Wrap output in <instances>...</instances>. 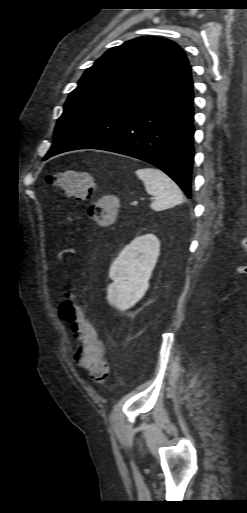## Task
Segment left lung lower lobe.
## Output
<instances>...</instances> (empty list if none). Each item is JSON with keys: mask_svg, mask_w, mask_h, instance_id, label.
I'll return each instance as SVG.
<instances>
[{"mask_svg": "<svg viewBox=\"0 0 247 513\" xmlns=\"http://www.w3.org/2000/svg\"><path fill=\"white\" fill-rule=\"evenodd\" d=\"M193 96L188 65L168 81L73 134L43 159L76 149L120 153L160 168L191 198Z\"/></svg>", "mask_w": 247, "mask_h": 513, "instance_id": "left-lung-lower-lobe-1", "label": "left lung lower lobe"}]
</instances>
